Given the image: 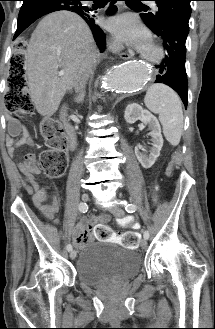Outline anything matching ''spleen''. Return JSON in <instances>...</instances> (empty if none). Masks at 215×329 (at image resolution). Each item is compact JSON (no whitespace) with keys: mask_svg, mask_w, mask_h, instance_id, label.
I'll use <instances>...</instances> for the list:
<instances>
[{"mask_svg":"<svg viewBox=\"0 0 215 329\" xmlns=\"http://www.w3.org/2000/svg\"><path fill=\"white\" fill-rule=\"evenodd\" d=\"M144 102L150 111L159 115L167 141L177 146L184 125L181 100L177 93L164 84H155L147 90Z\"/></svg>","mask_w":215,"mask_h":329,"instance_id":"spleen-1","label":"spleen"}]
</instances>
